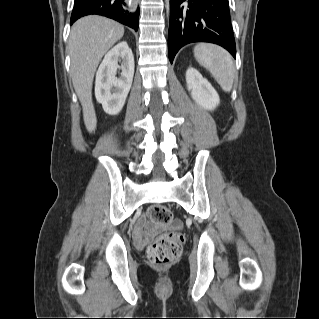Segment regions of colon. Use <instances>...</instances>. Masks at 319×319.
<instances>
[{
    "label": "colon",
    "mask_w": 319,
    "mask_h": 319,
    "mask_svg": "<svg viewBox=\"0 0 319 319\" xmlns=\"http://www.w3.org/2000/svg\"><path fill=\"white\" fill-rule=\"evenodd\" d=\"M148 219L159 224H169L173 215L164 205H154L148 210ZM185 237L180 233H165L159 236L146 250V257L152 266H166L174 263L182 253Z\"/></svg>",
    "instance_id": "colon-1"
}]
</instances>
